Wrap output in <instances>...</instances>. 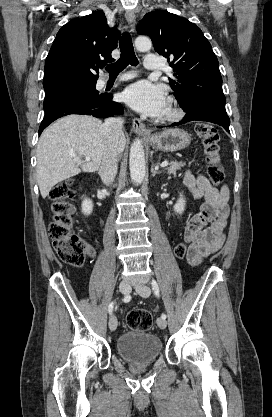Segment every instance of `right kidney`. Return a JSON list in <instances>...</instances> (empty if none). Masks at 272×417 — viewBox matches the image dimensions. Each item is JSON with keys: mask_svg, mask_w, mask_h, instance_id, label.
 <instances>
[{"mask_svg": "<svg viewBox=\"0 0 272 417\" xmlns=\"http://www.w3.org/2000/svg\"><path fill=\"white\" fill-rule=\"evenodd\" d=\"M93 211V202L85 198L82 202V212L84 215H90Z\"/></svg>", "mask_w": 272, "mask_h": 417, "instance_id": "right-kidney-1", "label": "right kidney"}]
</instances>
